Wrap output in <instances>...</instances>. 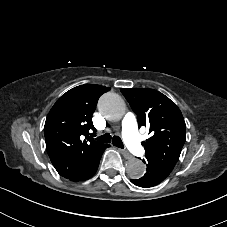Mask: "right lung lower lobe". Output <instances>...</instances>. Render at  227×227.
Segmentation results:
<instances>
[{"label":"right lung lower lobe","mask_w":227,"mask_h":227,"mask_svg":"<svg viewBox=\"0 0 227 227\" xmlns=\"http://www.w3.org/2000/svg\"><path fill=\"white\" fill-rule=\"evenodd\" d=\"M107 147H110V145L107 144L102 149L90 154L86 158L84 164L77 170H73L70 168L58 169L56 167H55V169L61 176L65 177L69 180L85 181L96 173L102 153L104 152V150Z\"/></svg>","instance_id":"1"}]
</instances>
